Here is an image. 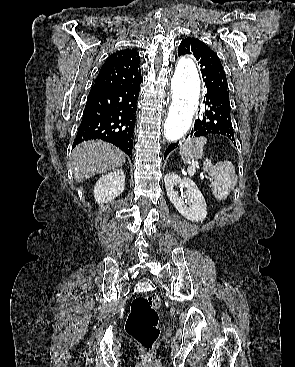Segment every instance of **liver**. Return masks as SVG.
<instances>
[{
	"instance_id": "6515ba94",
	"label": "liver",
	"mask_w": 295,
	"mask_h": 367,
	"mask_svg": "<svg viewBox=\"0 0 295 367\" xmlns=\"http://www.w3.org/2000/svg\"><path fill=\"white\" fill-rule=\"evenodd\" d=\"M126 161V155L115 146L106 142L87 141L74 148L70 162L76 182L121 167Z\"/></svg>"
}]
</instances>
